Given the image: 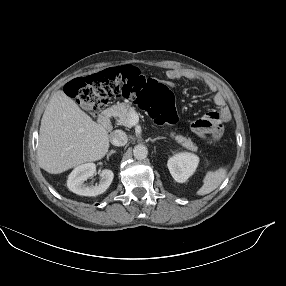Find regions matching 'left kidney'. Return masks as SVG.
I'll return each instance as SVG.
<instances>
[{
	"label": "left kidney",
	"mask_w": 286,
	"mask_h": 286,
	"mask_svg": "<svg viewBox=\"0 0 286 286\" xmlns=\"http://www.w3.org/2000/svg\"><path fill=\"white\" fill-rule=\"evenodd\" d=\"M198 163V156L182 152L169 158L167 166L174 180L183 183L195 172Z\"/></svg>",
	"instance_id": "left-kidney-1"
}]
</instances>
